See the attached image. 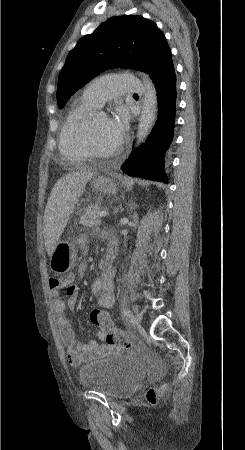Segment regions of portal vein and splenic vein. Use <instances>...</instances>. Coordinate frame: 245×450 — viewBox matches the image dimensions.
Masks as SVG:
<instances>
[{
  "instance_id": "18ae733b",
  "label": "portal vein and splenic vein",
  "mask_w": 245,
  "mask_h": 450,
  "mask_svg": "<svg viewBox=\"0 0 245 450\" xmlns=\"http://www.w3.org/2000/svg\"><path fill=\"white\" fill-rule=\"evenodd\" d=\"M108 215V212L107 211H100L99 213H98V216L99 217H106Z\"/></svg>"
}]
</instances>
